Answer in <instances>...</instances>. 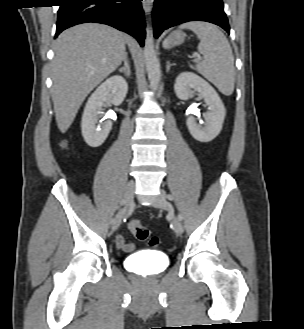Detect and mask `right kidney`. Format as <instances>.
Instances as JSON below:
<instances>
[{"mask_svg":"<svg viewBox=\"0 0 304 329\" xmlns=\"http://www.w3.org/2000/svg\"><path fill=\"white\" fill-rule=\"evenodd\" d=\"M128 91L125 79L115 75L104 81L88 99L81 121V130L85 142L91 147H99L106 140L112 122L105 121L101 127L96 126L98 116L102 114L106 103L120 105Z\"/></svg>","mask_w":304,"mask_h":329,"instance_id":"right-kidney-1","label":"right kidney"}]
</instances>
